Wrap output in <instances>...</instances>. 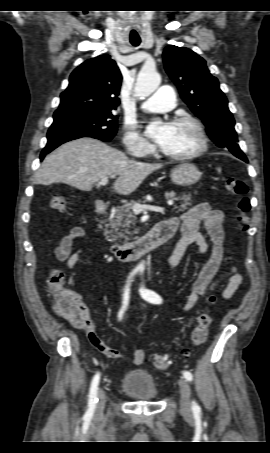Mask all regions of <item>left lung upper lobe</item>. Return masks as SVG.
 I'll list each match as a JSON object with an SVG mask.
<instances>
[{
    "label": "left lung upper lobe",
    "mask_w": 270,
    "mask_h": 453,
    "mask_svg": "<svg viewBox=\"0 0 270 453\" xmlns=\"http://www.w3.org/2000/svg\"><path fill=\"white\" fill-rule=\"evenodd\" d=\"M163 60L181 98L203 121L212 141L229 149L235 156L243 155L237 144L235 121L228 109V101L205 60L188 48L174 45L164 49Z\"/></svg>",
    "instance_id": "5c2ea615"
}]
</instances>
